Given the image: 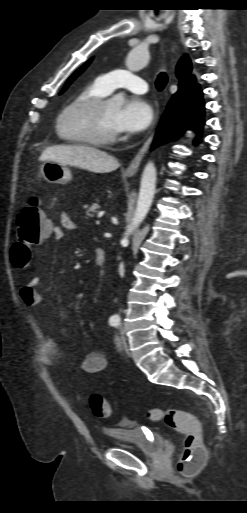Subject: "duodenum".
<instances>
[{"instance_id":"duodenum-1","label":"duodenum","mask_w":247,"mask_h":513,"mask_svg":"<svg viewBox=\"0 0 247 513\" xmlns=\"http://www.w3.org/2000/svg\"><path fill=\"white\" fill-rule=\"evenodd\" d=\"M106 260V253L102 247H97L95 249V264L97 266H103Z\"/></svg>"}]
</instances>
